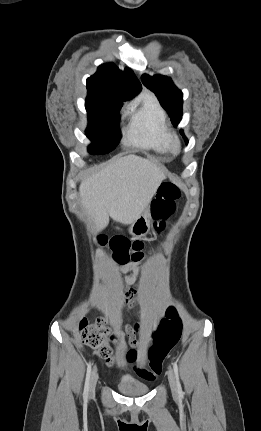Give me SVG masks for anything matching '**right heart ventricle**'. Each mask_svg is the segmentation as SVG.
<instances>
[{"instance_id":"1","label":"right heart ventricle","mask_w":261,"mask_h":431,"mask_svg":"<svg viewBox=\"0 0 261 431\" xmlns=\"http://www.w3.org/2000/svg\"><path fill=\"white\" fill-rule=\"evenodd\" d=\"M169 134L165 112L152 96H146L140 106L132 107L126 131L129 144L166 154Z\"/></svg>"}]
</instances>
